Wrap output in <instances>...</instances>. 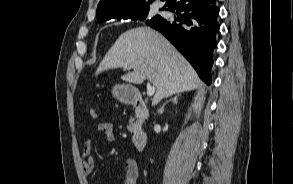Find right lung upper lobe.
<instances>
[{
    "label": "right lung upper lobe",
    "mask_w": 293,
    "mask_h": 184,
    "mask_svg": "<svg viewBox=\"0 0 293 184\" xmlns=\"http://www.w3.org/2000/svg\"><path fill=\"white\" fill-rule=\"evenodd\" d=\"M154 0H101L98 4L97 19L100 22L127 19L133 15L149 11ZM164 1V0H162ZM169 0H166V4Z\"/></svg>",
    "instance_id": "right-lung-upper-lobe-1"
}]
</instances>
